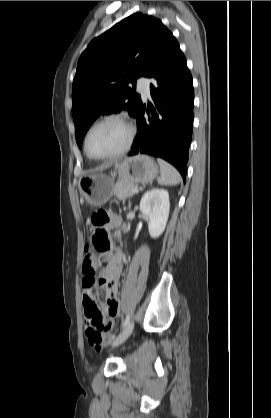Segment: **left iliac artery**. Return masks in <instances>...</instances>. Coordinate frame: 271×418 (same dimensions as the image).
Masks as SVG:
<instances>
[{
    "mask_svg": "<svg viewBox=\"0 0 271 418\" xmlns=\"http://www.w3.org/2000/svg\"><path fill=\"white\" fill-rule=\"evenodd\" d=\"M130 318H131V316H130V314H128L125 318V321L122 324V328H124L125 326L128 325V323L130 322Z\"/></svg>",
    "mask_w": 271,
    "mask_h": 418,
    "instance_id": "44dca946",
    "label": "left iliac artery"
}]
</instances>
